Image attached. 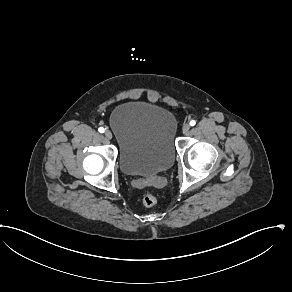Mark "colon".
<instances>
[{
  "mask_svg": "<svg viewBox=\"0 0 292 292\" xmlns=\"http://www.w3.org/2000/svg\"><path fill=\"white\" fill-rule=\"evenodd\" d=\"M156 202H157V197L152 192L145 193L142 198V203L148 207L154 206Z\"/></svg>",
  "mask_w": 292,
  "mask_h": 292,
  "instance_id": "1",
  "label": "colon"
}]
</instances>
